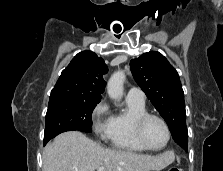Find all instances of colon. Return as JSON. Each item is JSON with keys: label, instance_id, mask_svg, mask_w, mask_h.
<instances>
[{"label": "colon", "instance_id": "obj_1", "mask_svg": "<svg viewBox=\"0 0 223 171\" xmlns=\"http://www.w3.org/2000/svg\"><path fill=\"white\" fill-rule=\"evenodd\" d=\"M169 171H181V170L179 168H177V167H173Z\"/></svg>", "mask_w": 223, "mask_h": 171}]
</instances>
